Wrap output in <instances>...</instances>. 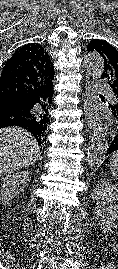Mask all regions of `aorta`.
Returning a JSON list of instances; mask_svg holds the SVG:
<instances>
[{
	"mask_svg": "<svg viewBox=\"0 0 118 269\" xmlns=\"http://www.w3.org/2000/svg\"><path fill=\"white\" fill-rule=\"evenodd\" d=\"M84 65L87 71L96 77H100L104 71V59L99 54H88L84 58ZM108 142L100 124H96L93 130L91 141L87 150L86 161L90 165H99L107 153Z\"/></svg>",
	"mask_w": 118,
	"mask_h": 269,
	"instance_id": "aorta-1",
	"label": "aorta"
}]
</instances>
